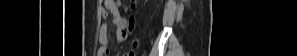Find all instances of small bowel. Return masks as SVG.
Wrapping results in <instances>:
<instances>
[{
	"mask_svg": "<svg viewBox=\"0 0 297 56\" xmlns=\"http://www.w3.org/2000/svg\"><path fill=\"white\" fill-rule=\"evenodd\" d=\"M111 14L113 24L116 28L115 37L117 42H122L128 37L129 23L122 15L119 5L114 0H106L104 2V9L102 11L103 16ZM100 48L98 50L99 56L109 55V39H108V26L106 23L102 24L99 35Z\"/></svg>",
	"mask_w": 297,
	"mask_h": 56,
	"instance_id": "c3829d8e",
	"label": "small bowel"
}]
</instances>
